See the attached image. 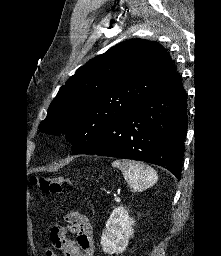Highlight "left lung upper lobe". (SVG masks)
Returning a JSON list of instances; mask_svg holds the SVG:
<instances>
[{"instance_id": "obj_1", "label": "left lung upper lobe", "mask_w": 221, "mask_h": 256, "mask_svg": "<svg viewBox=\"0 0 221 256\" xmlns=\"http://www.w3.org/2000/svg\"><path fill=\"white\" fill-rule=\"evenodd\" d=\"M176 74L170 56L158 43L121 42L77 69L50 104L39 129L67 134L76 151Z\"/></svg>"}]
</instances>
